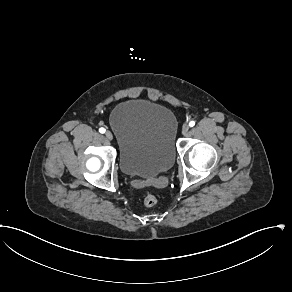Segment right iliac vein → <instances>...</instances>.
I'll list each match as a JSON object with an SVG mask.
<instances>
[{
	"mask_svg": "<svg viewBox=\"0 0 292 292\" xmlns=\"http://www.w3.org/2000/svg\"><path fill=\"white\" fill-rule=\"evenodd\" d=\"M105 136L108 140H112L113 139V135L110 131H106Z\"/></svg>",
	"mask_w": 292,
	"mask_h": 292,
	"instance_id": "1",
	"label": "right iliac vein"
}]
</instances>
